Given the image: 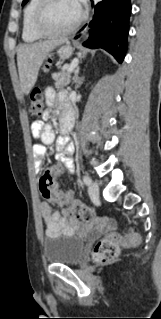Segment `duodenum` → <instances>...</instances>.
<instances>
[{"label": "duodenum", "mask_w": 161, "mask_h": 319, "mask_svg": "<svg viewBox=\"0 0 161 319\" xmlns=\"http://www.w3.org/2000/svg\"><path fill=\"white\" fill-rule=\"evenodd\" d=\"M73 124L71 119L64 118L61 123V130L63 134H68L72 130Z\"/></svg>", "instance_id": "obj_1"}]
</instances>
